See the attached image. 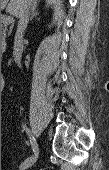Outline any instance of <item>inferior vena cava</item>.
<instances>
[{"instance_id": "602c4592", "label": "inferior vena cava", "mask_w": 109, "mask_h": 170, "mask_svg": "<svg viewBox=\"0 0 109 170\" xmlns=\"http://www.w3.org/2000/svg\"><path fill=\"white\" fill-rule=\"evenodd\" d=\"M34 2L35 0H22L19 22L13 47L14 60L18 66L21 65V57L23 52V33L28 25L30 8Z\"/></svg>"}]
</instances>
